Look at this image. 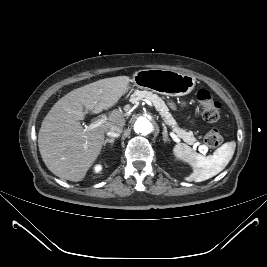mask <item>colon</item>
Segmentation results:
<instances>
[{"instance_id":"1","label":"colon","mask_w":267,"mask_h":267,"mask_svg":"<svg viewBox=\"0 0 267 267\" xmlns=\"http://www.w3.org/2000/svg\"><path fill=\"white\" fill-rule=\"evenodd\" d=\"M196 96L203 118L211 123L218 121L220 118L221 104L206 89H200ZM222 141V135L217 129L210 130L204 136V142L210 148L220 146Z\"/></svg>"}]
</instances>
